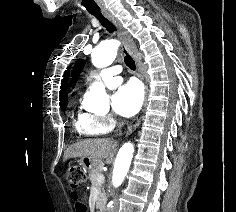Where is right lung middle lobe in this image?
I'll return each instance as SVG.
<instances>
[{
  "label": "right lung middle lobe",
  "mask_w": 236,
  "mask_h": 212,
  "mask_svg": "<svg viewBox=\"0 0 236 212\" xmlns=\"http://www.w3.org/2000/svg\"><path fill=\"white\" fill-rule=\"evenodd\" d=\"M60 103H61L62 110H64L66 108V105H67V99L66 100H62Z\"/></svg>",
  "instance_id": "obj_1"
}]
</instances>
